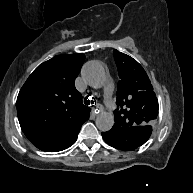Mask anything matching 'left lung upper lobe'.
<instances>
[{
    "label": "left lung upper lobe",
    "mask_w": 193,
    "mask_h": 193,
    "mask_svg": "<svg viewBox=\"0 0 193 193\" xmlns=\"http://www.w3.org/2000/svg\"><path fill=\"white\" fill-rule=\"evenodd\" d=\"M113 54L120 77L114 126L130 131L151 127L158 115V103L145 70L132 57L118 50Z\"/></svg>",
    "instance_id": "left-lung-upper-lobe-1"
}]
</instances>
